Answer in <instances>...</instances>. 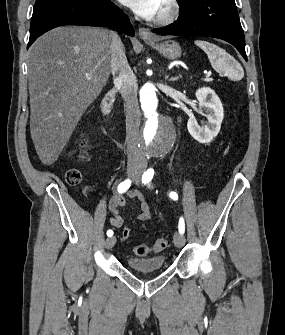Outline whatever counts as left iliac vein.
Masks as SVG:
<instances>
[{
    "label": "left iliac vein",
    "mask_w": 285,
    "mask_h": 335,
    "mask_svg": "<svg viewBox=\"0 0 285 335\" xmlns=\"http://www.w3.org/2000/svg\"><path fill=\"white\" fill-rule=\"evenodd\" d=\"M140 172L136 173L134 175L133 181L135 184H139L140 183ZM173 240H174V244L176 247H183L185 245V237L183 236V234L179 233H175L173 236Z\"/></svg>",
    "instance_id": "obj_1"
}]
</instances>
